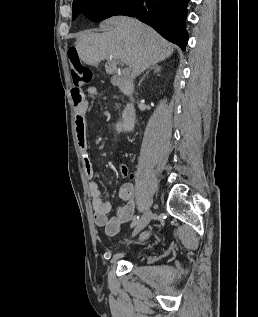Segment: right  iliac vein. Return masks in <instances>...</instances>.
Returning a JSON list of instances; mask_svg holds the SVG:
<instances>
[{
	"instance_id": "1",
	"label": "right iliac vein",
	"mask_w": 258,
	"mask_h": 317,
	"mask_svg": "<svg viewBox=\"0 0 258 317\" xmlns=\"http://www.w3.org/2000/svg\"><path fill=\"white\" fill-rule=\"evenodd\" d=\"M152 217H153V212L150 209V207H147L139 223H137L136 226L134 227V231L132 233L133 236H138V233H141L143 227H145L146 224L151 221ZM130 240L132 241L133 239L131 238Z\"/></svg>"
}]
</instances>
